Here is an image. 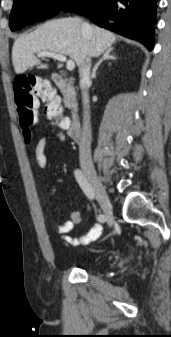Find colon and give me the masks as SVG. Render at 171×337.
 <instances>
[{
    "label": "colon",
    "instance_id": "obj_1",
    "mask_svg": "<svg viewBox=\"0 0 171 337\" xmlns=\"http://www.w3.org/2000/svg\"><path fill=\"white\" fill-rule=\"evenodd\" d=\"M14 90L17 113L20 124L25 129L26 141L31 140L33 134L29 128L37 121V97H40V103H47V106L40 107L43 119H50L57 127L68 126L69 121L64 117L61 108L64 101L59 100L57 91H52L45 79L38 76H19L15 80Z\"/></svg>",
    "mask_w": 171,
    "mask_h": 337
}]
</instances>
